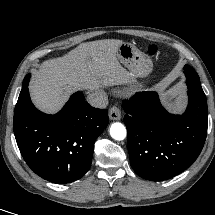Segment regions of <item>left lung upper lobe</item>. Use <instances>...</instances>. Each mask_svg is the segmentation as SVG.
Listing matches in <instances>:
<instances>
[{
	"mask_svg": "<svg viewBox=\"0 0 215 215\" xmlns=\"http://www.w3.org/2000/svg\"><path fill=\"white\" fill-rule=\"evenodd\" d=\"M184 73H185V76L187 78L200 81L198 74L195 72V70L192 67H190L188 65H185V67H184Z\"/></svg>",
	"mask_w": 215,
	"mask_h": 215,
	"instance_id": "left-lung-upper-lobe-1",
	"label": "left lung upper lobe"
}]
</instances>
